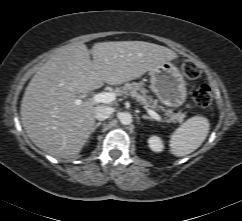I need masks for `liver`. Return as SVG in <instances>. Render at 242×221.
<instances>
[{
    "label": "liver",
    "instance_id": "obj_1",
    "mask_svg": "<svg viewBox=\"0 0 242 221\" xmlns=\"http://www.w3.org/2000/svg\"><path fill=\"white\" fill-rule=\"evenodd\" d=\"M82 42L60 48L36 72L21 102V119L30 140L57 159H74L95 126V107L84 94L104 83L120 85L177 58L164 46L144 41Z\"/></svg>",
    "mask_w": 242,
    "mask_h": 221
}]
</instances>
